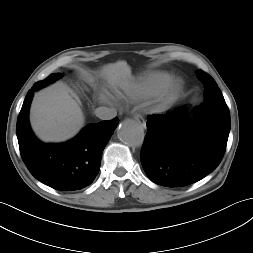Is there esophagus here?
Listing matches in <instances>:
<instances>
[{"mask_svg": "<svg viewBox=\"0 0 253 253\" xmlns=\"http://www.w3.org/2000/svg\"><path fill=\"white\" fill-rule=\"evenodd\" d=\"M134 119L139 122L143 127H146V123L140 114H135Z\"/></svg>", "mask_w": 253, "mask_h": 253, "instance_id": "esophagus-1", "label": "esophagus"}]
</instances>
